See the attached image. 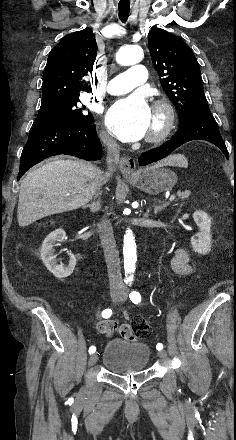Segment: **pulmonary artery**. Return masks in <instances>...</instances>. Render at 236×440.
<instances>
[{
    "mask_svg": "<svg viewBox=\"0 0 236 440\" xmlns=\"http://www.w3.org/2000/svg\"><path fill=\"white\" fill-rule=\"evenodd\" d=\"M146 77L147 70L144 65H133L109 81L107 92L111 95L126 94L143 85L146 81Z\"/></svg>",
    "mask_w": 236,
    "mask_h": 440,
    "instance_id": "obj_1",
    "label": "pulmonary artery"
}]
</instances>
